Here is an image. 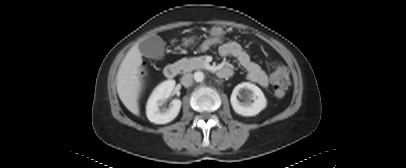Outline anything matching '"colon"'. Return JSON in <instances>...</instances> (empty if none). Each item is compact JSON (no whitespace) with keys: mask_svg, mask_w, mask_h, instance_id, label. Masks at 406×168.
Returning <instances> with one entry per match:
<instances>
[{"mask_svg":"<svg viewBox=\"0 0 406 168\" xmlns=\"http://www.w3.org/2000/svg\"><path fill=\"white\" fill-rule=\"evenodd\" d=\"M273 91L276 97H283L289 87V75L287 69L277 65L272 73Z\"/></svg>","mask_w":406,"mask_h":168,"instance_id":"1","label":"colon"}]
</instances>
